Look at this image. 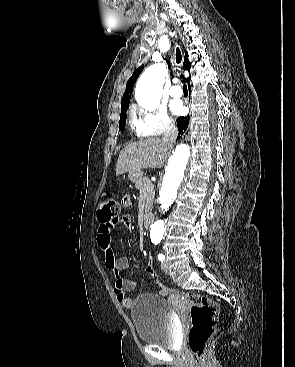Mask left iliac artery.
<instances>
[{
	"instance_id": "left-iliac-artery-1",
	"label": "left iliac artery",
	"mask_w": 295,
	"mask_h": 367,
	"mask_svg": "<svg viewBox=\"0 0 295 367\" xmlns=\"http://www.w3.org/2000/svg\"><path fill=\"white\" fill-rule=\"evenodd\" d=\"M157 258L161 262H163L165 260V256L163 254H158Z\"/></svg>"
}]
</instances>
